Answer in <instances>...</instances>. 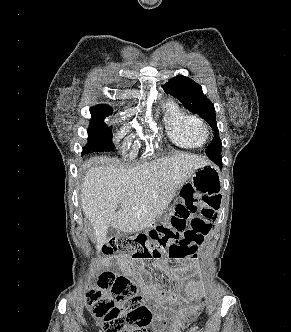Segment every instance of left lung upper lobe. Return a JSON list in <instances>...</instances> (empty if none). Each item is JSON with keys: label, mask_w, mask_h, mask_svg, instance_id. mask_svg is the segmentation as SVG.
Listing matches in <instances>:
<instances>
[{"label": "left lung upper lobe", "mask_w": 291, "mask_h": 332, "mask_svg": "<svg viewBox=\"0 0 291 332\" xmlns=\"http://www.w3.org/2000/svg\"><path fill=\"white\" fill-rule=\"evenodd\" d=\"M164 89L178 98L191 112L205 119L214 130V138L206 150L211 159L221 156L222 144L216 123L215 109L211 101L203 94L202 87L192 79L178 75L163 86Z\"/></svg>", "instance_id": "1"}]
</instances>
